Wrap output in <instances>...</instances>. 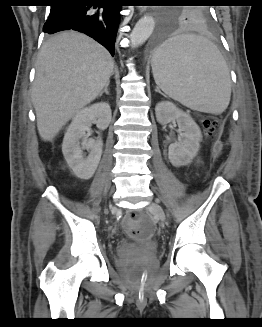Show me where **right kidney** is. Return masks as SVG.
Segmentation results:
<instances>
[{
  "label": "right kidney",
  "instance_id": "ca27d5eb",
  "mask_svg": "<svg viewBox=\"0 0 262 327\" xmlns=\"http://www.w3.org/2000/svg\"><path fill=\"white\" fill-rule=\"evenodd\" d=\"M110 121L111 109L106 102L95 103L81 109L73 117L63 139L62 152L69 167L79 178H91L102 155V140H88L86 131H89L93 123L100 130H104L109 126ZM84 149L90 150L87 157L83 154Z\"/></svg>",
  "mask_w": 262,
  "mask_h": 327
}]
</instances>
